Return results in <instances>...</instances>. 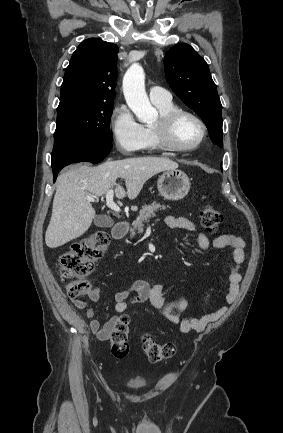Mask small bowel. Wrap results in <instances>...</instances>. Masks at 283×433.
Here are the masks:
<instances>
[{
	"label": "small bowel",
	"mask_w": 283,
	"mask_h": 433,
	"mask_svg": "<svg viewBox=\"0 0 283 433\" xmlns=\"http://www.w3.org/2000/svg\"><path fill=\"white\" fill-rule=\"evenodd\" d=\"M165 223L170 228L182 229L197 233V244L199 248L206 250L210 247L216 249L231 248L233 255V265L229 274V288L225 297V303L202 317L186 316L188 302L185 298L168 302L165 300L164 285L161 283L149 284L144 280H135L129 288L119 291L114 295V311L116 315L111 317L103 326L95 319L92 308L87 306V302L82 299H73V304L77 309H85L86 317L89 320L88 328L95 334L98 341H105L110 338L112 331L117 325L121 314L131 305L149 302L155 309L161 311L165 318L177 324L182 333L191 331L201 332L208 324L219 320L236 300L239 293V285L242 279L241 267L245 260V241L238 236L223 234L213 240L202 232H198L196 225L184 217L169 215ZM100 287L92 288L88 297L91 301L97 302L100 298ZM69 319L76 325L83 326V320L73 310H67Z\"/></svg>",
	"instance_id": "1"
}]
</instances>
